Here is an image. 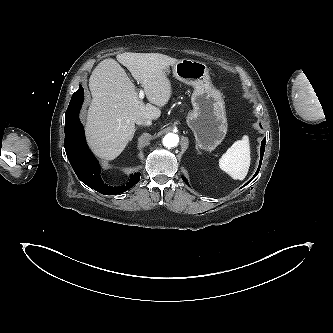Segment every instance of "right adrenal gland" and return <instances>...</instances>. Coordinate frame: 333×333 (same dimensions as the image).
<instances>
[{"instance_id":"1","label":"right adrenal gland","mask_w":333,"mask_h":333,"mask_svg":"<svg viewBox=\"0 0 333 333\" xmlns=\"http://www.w3.org/2000/svg\"><path fill=\"white\" fill-rule=\"evenodd\" d=\"M136 130H137V129H134V133H135ZM134 133H133V136H134ZM133 136H132V138H133Z\"/></svg>"}]
</instances>
